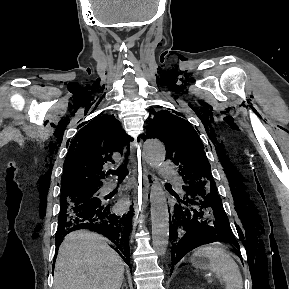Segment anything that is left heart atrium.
I'll list each match as a JSON object with an SVG mask.
<instances>
[{"mask_svg": "<svg viewBox=\"0 0 289 289\" xmlns=\"http://www.w3.org/2000/svg\"><path fill=\"white\" fill-rule=\"evenodd\" d=\"M129 205H130V200L125 199V200H122L120 202L119 207H120L121 210H126Z\"/></svg>", "mask_w": 289, "mask_h": 289, "instance_id": "obj_1", "label": "left heart atrium"}]
</instances>
